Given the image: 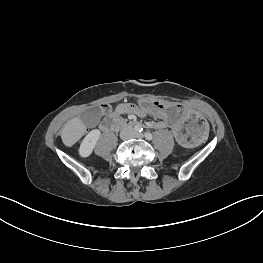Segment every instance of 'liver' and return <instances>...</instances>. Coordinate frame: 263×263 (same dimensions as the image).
I'll list each match as a JSON object with an SVG mask.
<instances>
[{
    "label": "liver",
    "mask_w": 263,
    "mask_h": 263,
    "mask_svg": "<svg viewBox=\"0 0 263 263\" xmlns=\"http://www.w3.org/2000/svg\"><path fill=\"white\" fill-rule=\"evenodd\" d=\"M86 125L80 118L77 116L69 120L61 133V138L65 146H73L85 133Z\"/></svg>",
    "instance_id": "1"
}]
</instances>
